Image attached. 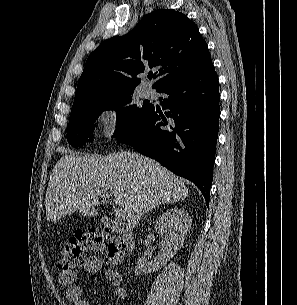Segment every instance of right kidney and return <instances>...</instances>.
<instances>
[{"label":"right kidney","mask_w":297,"mask_h":305,"mask_svg":"<svg viewBox=\"0 0 297 305\" xmlns=\"http://www.w3.org/2000/svg\"><path fill=\"white\" fill-rule=\"evenodd\" d=\"M191 225L189 214L182 208H171L163 212L155 223V230L162 237L161 251L151 262L140 258L135 267V274L155 272L164 266L183 246Z\"/></svg>","instance_id":"ca27d5eb"}]
</instances>
